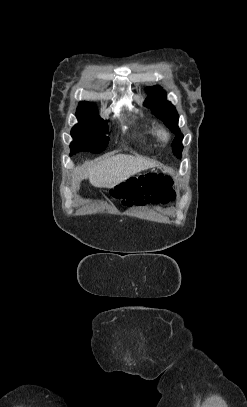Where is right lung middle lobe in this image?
<instances>
[{"mask_svg":"<svg viewBox=\"0 0 247 407\" xmlns=\"http://www.w3.org/2000/svg\"><path fill=\"white\" fill-rule=\"evenodd\" d=\"M76 117L79 122L71 130L70 155L80 151L100 153L105 150L109 141L107 122L98 117L96 107H78Z\"/></svg>","mask_w":247,"mask_h":407,"instance_id":"right-lung-middle-lobe-1","label":"right lung middle lobe"}]
</instances>
